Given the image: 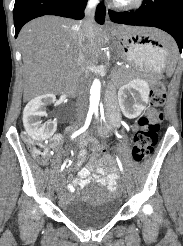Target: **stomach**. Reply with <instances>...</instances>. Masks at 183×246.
Segmentation results:
<instances>
[{
  "label": "stomach",
  "instance_id": "obj_1",
  "mask_svg": "<svg viewBox=\"0 0 183 246\" xmlns=\"http://www.w3.org/2000/svg\"><path fill=\"white\" fill-rule=\"evenodd\" d=\"M145 29L127 32L118 28L114 36L121 54L128 62L142 71L159 73L165 68L168 43Z\"/></svg>",
  "mask_w": 183,
  "mask_h": 246
}]
</instances>
